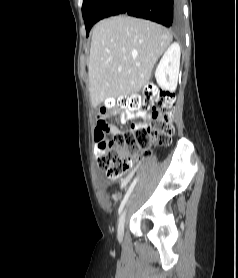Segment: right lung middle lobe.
Instances as JSON below:
<instances>
[{"label":"right lung middle lobe","mask_w":238,"mask_h":278,"mask_svg":"<svg viewBox=\"0 0 238 278\" xmlns=\"http://www.w3.org/2000/svg\"><path fill=\"white\" fill-rule=\"evenodd\" d=\"M97 0H84L82 5V15L85 18L88 9L96 2Z\"/></svg>","instance_id":"right-lung-middle-lobe-1"}]
</instances>
